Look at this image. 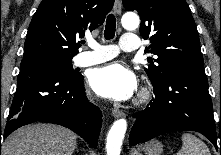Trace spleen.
Listing matches in <instances>:
<instances>
[{
  "instance_id": "obj_1",
  "label": "spleen",
  "mask_w": 221,
  "mask_h": 155,
  "mask_svg": "<svg viewBox=\"0 0 221 155\" xmlns=\"http://www.w3.org/2000/svg\"><path fill=\"white\" fill-rule=\"evenodd\" d=\"M182 147L176 155H211L206 144L191 133L182 135Z\"/></svg>"
}]
</instances>
